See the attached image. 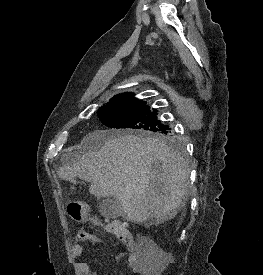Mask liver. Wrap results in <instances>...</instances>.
Wrapping results in <instances>:
<instances>
[{"mask_svg":"<svg viewBox=\"0 0 263 275\" xmlns=\"http://www.w3.org/2000/svg\"><path fill=\"white\" fill-rule=\"evenodd\" d=\"M83 149L72 165L58 176L76 184L91 183L90 194L114 197L127 220L163 223L176 216L188 196L187 162L164 142L152 136L96 130L81 142Z\"/></svg>","mask_w":263,"mask_h":275,"instance_id":"6515ba94","label":"liver"}]
</instances>
